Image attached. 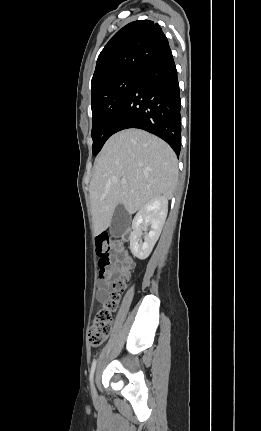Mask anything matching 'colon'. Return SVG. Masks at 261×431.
<instances>
[{"label":"colon","mask_w":261,"mask_h":431,"mask_svg":"<svg viewBox=\"0 0 261 431\" xmlns=\"http://www.w3.org/2000/svg\"><path fill=\"white\" fill-rule=\"evenodd\" d=\"M122 250L123 244L119 240L113 239L107 234L97 236L96 251L99 257L100 274L105 268L115 264V259ZM117 268L120 270V277L114 280L109 299L103 308L96 313L88 332V341L93 347L103 344L110 334L113 323L112 313L116 309L120 294L126 286L130 259L126 258L123 263H117Z\"/></svg>","instance_id":"1"}]
</instances>
